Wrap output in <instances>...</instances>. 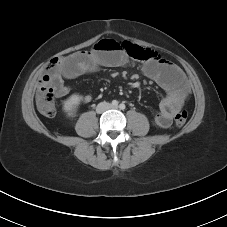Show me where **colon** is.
Listing matches in <instances>:
<instances>
[{
  "instance_id": "5ec220e1",
  "label": "colon",
  "mask_w": 227,
  "mask_h": 227,
  "mask_svg": "<svg viewBox=\"0 0 227 227\" xmlns=\"http://www.w3.org/2000/svg\"><path fill=\"white\" fill-rule=\"evenodd\" d=\"M119 45L127 52V54L140 61H150L158 57L157 53L151 49L142 48L138 45L130 43H121ZM62 58H53L47 67L48 74L43 76L38 85L36 94V105L38 111L46 116L53 117L56 114L55 91L51 84V74L59 66ZM188 119L186 111H180L175 115L174 122L177 127H182Z\"/></svg>"
}]
</instances>
